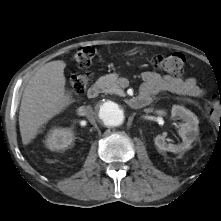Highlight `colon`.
<instances>
[{
    "label": "colon",
    "instance_id": "obj_1",
    "mask_svg": "<svg viewBox=\"0 0 221 221\" xmlns=\"http://www.w3.org/2000/svg\"><path fill=\"white\" fill-rule=\"evenodd\" d=\"M73 60L80 68L91 66L95 57V49L84 47L73 53ZM154 69L172 74H179L185 67V57L181 53L170 55H154L151 58ZM90 82L89 73L74 74L69 78V91L74 94H82ZM210 114L221 122V93L215 94L210 100Z\"/></svg>",
    "mask_w": 221,
    "mask_h": 221
}]
</instances>
